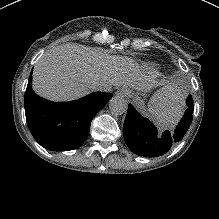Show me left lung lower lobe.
Masks as SVG:
<instances>
[{
  "label": "left lung lower lobe",
  "mask_w": 219,
  "mask_h": 219,
  "mask_svg": "<svg viewBox=\"0 0 219 219\" xmlns=\"http://www.w3.org/2000/svg\"><path fill=\"white\" fill-rule=\"evenodd\" d=\"M183 118L175 131H165L162 135L156 127L146 118L138 113L129 104L125 118L123 135L128 147L136 154L145 157H156L169 151L171 145L180 141L192 122L193 100L187 103Z\"/></svg>",
  "instance_id": "left-lung-lower-lobe-1"
}]
</instances>
